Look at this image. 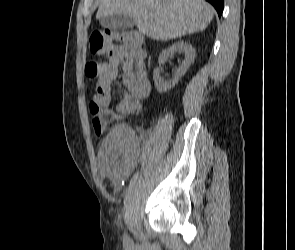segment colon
Wrapping results in <instances>:
<instances>
[{"label":"colon","instance_id":"colon-1","mask_svg":"<svg viewBox=\"0 0 295 250\" xmlns=\"http://www.w3.org/2000/svg\"><path fill=\"white\" fill-rule=\"evenodd\" d=\"M114 41L121 42L132 53L143 51L144 37L137 32L96 29L89 38L91 52L97 56L108 54ZM104 66L103 62L90 60L85 65V74L89 78H97L104 71ZM90 111L94 116L93 127L97 135L103 134L110 123L127 114L120 110L102 109L93 102L90 103Z\"/></svg>","mask_w":295,"mask_h":250}]
</instances>
